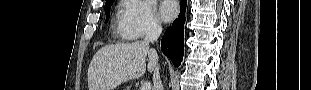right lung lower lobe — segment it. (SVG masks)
Masks as SVG:
<instances>
[{
  "mask_svg": "<svg viewBox=\"0 0 311 90\" xmlns=\"http://www.w3.org/2000/svg\"><path fill=\"white\" fill-rule=\"evenodd\" d=\"M186 0H182L181 10L178 18L167 28L162 37V52L178 67L181 64L184 52V21H185Z\"/></svg>",
  "mask_w": 311,
  "mask_h": 90,
  "instance_id": "1",
  "label": "right lung lower lobe"
}]
</instances>
